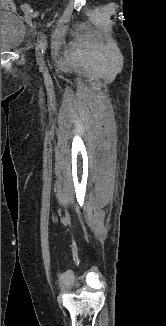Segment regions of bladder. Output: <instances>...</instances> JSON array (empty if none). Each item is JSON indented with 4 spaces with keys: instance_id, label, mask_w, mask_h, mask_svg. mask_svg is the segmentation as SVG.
Wrapping results in <instances>:
<instances>
[{
    "instance_id": "obj_1",
    "label": "bladder",
    "mask_w": 166,
    "mask_h": 326,
    "mask_svg": "<svg viewBox=\"0 0 166 326\" xmlns=\"http://www.w3.org/2000/svg\"><path fill=\"white\" fill-rule=\"evenodd\" d=\"M24 35V20L11 12L1 11V52L17 48Z\"/></svg>"
}]
</instances>
